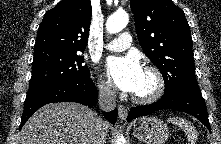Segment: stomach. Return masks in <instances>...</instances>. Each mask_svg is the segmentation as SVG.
I'll return each instance as SVG.
<instances>
[{
	"label": "stomach",
	"mask_w": 221,
	"mask_h": 144,
	"mask_svg": "<svg viewBox=\"0 0 221 144\" xmlns=\"http://www.w3.org/2000/svg\"><path fill=\"white\" fill-rule=\"evenodd\" d=\"M133 135L146 144H163L169 137V128L162 119L152 116L134 126Z\"/></svg>",
	"instance_id": "stomach-1"
}]
</instances>
